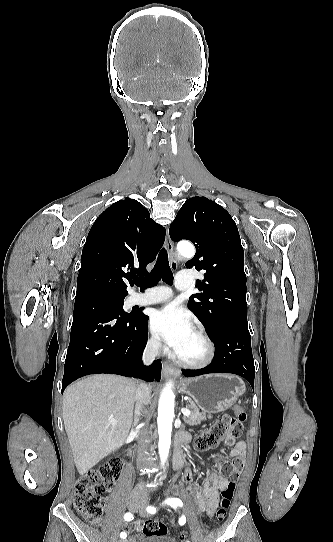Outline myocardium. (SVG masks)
<instances>
[{
    "mask_svg": "<svg viewBox=\"0 0 333 542\" xmlns=\"http://www.w3.org/2000/svg\"><path fill=\"white\" fill-rule=\"evenodd\" d=\"M194 331L205 346V355L203 358L196 361H188L177 358L172 353H168V356L178 366L189 369H202L209 366L213 362L215 357V345L210 336L202 327H196Z\"/></svg>",
    "mask_w": 333,
    "mask_h": 542,
    "instance_id": "f54148a6",
    "label": "myocardium"
}]
</instances>
